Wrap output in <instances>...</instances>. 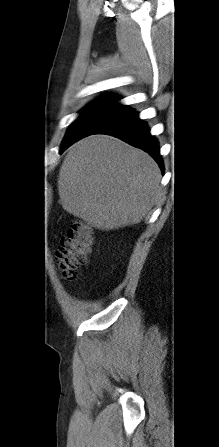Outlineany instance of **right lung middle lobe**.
<instances>
[{"instance_id":"dd1d6c3e","label":"right lung middle lobe","mask_w":219,"mask_h":447,"mask_svg":"<svg viewBox=\"0 0 219 447\" xmlns=\"http://www.w3.org/2000/svg\"><path fill=\"white\" fill-rule=\"evenodd\" d=\"M119 98L109 96L88 105L82 114L74 121L68 129L62 142L61 151L66 149L75 141L94 134L103 126L123 117L133 110L126 105L117 103Z\"/></svg>"}]
</instances>
